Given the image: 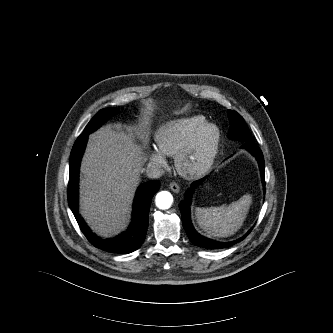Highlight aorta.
<instances>
[{"label":"aorta","mask_w":333,"mask_h":333,"mask_svg":"<svg viewBox=\"0 0 333 333\" xmlns=\"http://www.w3.org/2000/svg\"><path fill=\"white\" fill-rule=\"evenodd\" d=\"M155 202L159 209H169L173 203V196L168 191H161L156 195Z\"/></svg>","instance_id":"762f6f07"}]
</instances>
